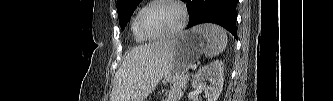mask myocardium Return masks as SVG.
<instances>
[{"instance_id": "f54148a6", "label": "myocardium", "mask_w": 333, "mask_h": 101, "mask_svg": "<svg viewBox=\"0 0 333 101\" xmlns=\"http://www.w3.org/2000/svg\"><path fill=\"white\" fill-rule=\"evenodd\" d=\"M159 3H168L171 4L173 6H175L178 11L180 12V22L178 24V26L173 29L172 31L165 33V34H160V35H152L150 34L143 26L142 23V19L144 16V13L153 5L159 4ZM187 10L184 7V5L180 2V1H176V0H155V1H151L149 2L146 6H144L138 13L137 16V28L138 31L140 32L141 35H143L144 37H146L147 39H151V40H158V39H164V38H168V37H172L176 34H178L180 31H182V29L185 27L186 23H187Z\"/></svg>"}]
</instances>
